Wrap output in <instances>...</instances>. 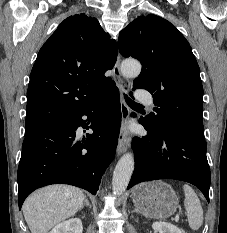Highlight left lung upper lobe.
Listing matches in <instances>:
<instances>
[{"mask_svg": "<svg viewBox=\"0 0 227 233\" xmlns=\"http://www.w3.org/2000/svg\"><path fill=\"white\" fill-rule=\"evenodd\" d=\"M118 47L122 56L142 63L133 90L153 94L156 113L143 118L146 126L152 131L171 126L204 139L200 69L184 36L169 21L149 14L120 32Z\"/></svg>", "mask_w": 227, "mask_h": 233, "instance_id": "left-lung-upper-lobe-1", "label": "left lung upper lobe"}]
</instances>
